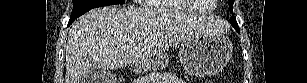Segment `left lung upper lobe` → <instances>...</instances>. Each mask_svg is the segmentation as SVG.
Instances as JSON below:
<instances>
[{"mask_svg": "<svg viewBox=\"0 0 307 83\" xmlns=\"http://www.w3.org/2000/svg\"><path fill=\"white\" fill-rule=\"evenodd\" d=\"M229 2H230V8H231V10H232L234 0H229ZM231 25H232L234 28L239 29V26H238V24H237V22H236V19H235V17H234L233 14H232V17H231Z\"/></svg>", "mask_w": 307, "mask_h": 83, "instance_id": "obj_1", "label": "left lung upper lobe"}]
</instances>
